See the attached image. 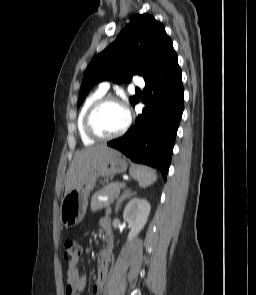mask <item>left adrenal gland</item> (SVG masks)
Returning <instances> with one entry per match:
<instances>
[{"instance_id":"a2214340","label":"left adrenal gland","mask_w":256,"mask_h":295,"mask_svg":"<svg viewBox=\"0 0 256 295\" xmlns=\"http://www.w3.org/2000/svg\"><path fill=\"white\" fill-rule=\"evenodd\" d=\"M136 194H137V192L132 191V189H129V188L124 189L123 193L121 194V196L117 200L115 213L116 214L118 213L119 207L125 199L131 198L132 196H134Z\"/></svg>"}]
</instances>
